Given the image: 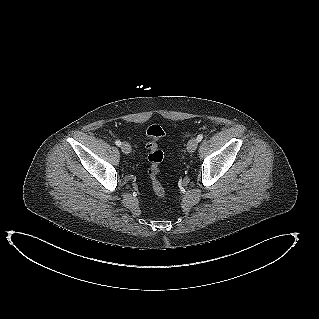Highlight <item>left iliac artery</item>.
Returning <instances> with one entry per match:
<instances>
[{"instance_id":"left-iliac-artery-1","label":"left iliac artery","mask_w":319,"mask_h":319,"mask_svg":"<svg viewBox=\"0 0 319 319\" xmlns=\"http://www.w3.org/2000/svg\"><path fill=\"white\" fill-rule=\"evenodd\" d=\"M203 139V134H199L197 136V141L200 142Z\"/></svg>"}]
</instances>
